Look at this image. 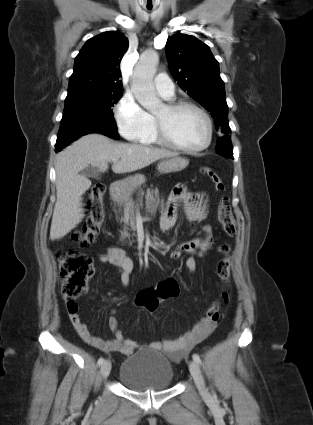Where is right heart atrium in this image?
Listing matches in <instances>:
<instances>
[{
    "instance_id": "right-heart-atrium-1",
    "label": "right heart atrium",
    "mask_w": 313,
    "mask_h": 425,
    "mask_svg": "<svg viewBox=\"0 0 313 425\" xmlns=\"http://www.w3.org/2000/svg\"><path fill=\"white\" fill-rule=\"evenodd\" d=\"M114 116L119 132L130 141H141L154 127L152 116L129 94L121 97L115 107Z\"/></svg>"
}]
</instances>
